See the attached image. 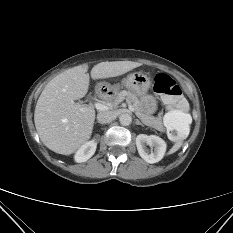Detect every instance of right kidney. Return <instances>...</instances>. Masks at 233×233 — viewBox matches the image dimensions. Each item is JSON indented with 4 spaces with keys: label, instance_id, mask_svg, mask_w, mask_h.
Listing matches in <instances>:
<instances>
[{
    "label": "right kidney",
    "instance_id": "ca27d5eb",
    "mask_svg": "<svg viewBox=\"0 0 233 233\" xmlns=\"http://www.w3.org/2000/svg\"><path fill=\"white\" fill-rule=\"evenodd\" d=\"M96 147H97L96 140L93 139L91 141L86 142L75 153L74 156L75 161L78 163L87 161L94 155L96 151Z\"/></svg>",
    "mask_w": 233,
    "mask_h": 233
}]
</instances>
